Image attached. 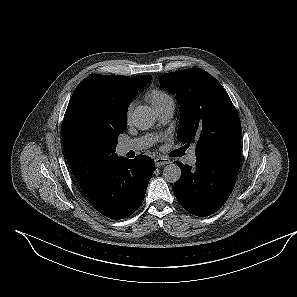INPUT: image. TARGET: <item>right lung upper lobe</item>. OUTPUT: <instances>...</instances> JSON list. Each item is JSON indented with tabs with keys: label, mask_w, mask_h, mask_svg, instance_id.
Masks as SVG:
<instances>
[{
	"label": "right lung upper lobe",
	"mask_w": 297,
	"mask_h": 297,
	"mask_svg": "<svg viewBox=\"0 0 297 297\" xmlns=\"http://www.w3.org/2000/svg\"><path fill=\"white\" fill-rule=\"evenodd\" d=\"M152 79L92 74L76 87L62 126L68 164L84 194L117 156L104 140L123 122L137 92Z\"/></svg>",
	"instance_id": "1"
}]
</instances>
